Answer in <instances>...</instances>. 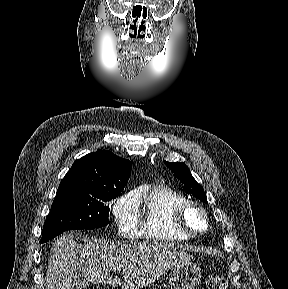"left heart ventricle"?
I'll return each instance as SVG.
<instances>
[{
	"label": "left heart ventricle",
	"mask_w": 288,
	"mask_h": 289,
	"mask_svg": "<svg viewBox=\"0 0 288 289\" xmlns=\"http://www.w3.org/2000/svg\"><path fill=\"white\" fill-rule=\"evenodd\" d=\"M186 221L188 225L194 230H200L205 226L202 215L193 208L187 211Z\"/></svg>",
	"instance_id": "left-heart-ventricle-1"
}]
</instances>
